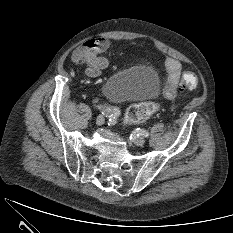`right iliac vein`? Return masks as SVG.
<instances>
[{"mask_svg":"<svg viewBox=\"0 0 233 233\" xmlns=\"http://www.w3.org/2000/svg\"><path fill=\"white\" fill-rule=\"evenodd\" d=\"M104 122H105V117H104L103 115H99V116L96 118V124H97V125H102Z\"/></svg>","mask_w":233,"mask_h":233,"instance_id":"1","label":"right iliac vein"}]
</instances>
